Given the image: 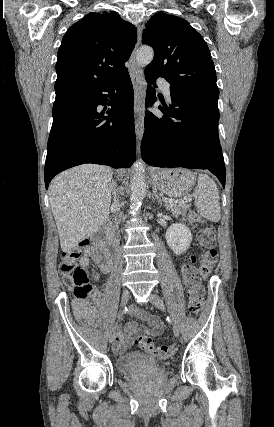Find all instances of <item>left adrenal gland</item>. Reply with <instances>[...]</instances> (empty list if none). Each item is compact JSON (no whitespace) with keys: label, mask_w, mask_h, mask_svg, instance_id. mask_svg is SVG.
Instances as JSON below:
<instances>
[{"label":"left adrenal gland","mask_w":274,"mask_h":427,"mask_svg":"<svg viewBox=\"0 0 274 427\" xmlns=\"http://www.w3.org/2000/svg\"><path fill=\"white\" fill-rule=\"evenodd\" d=\"M152 198H153V200H156V202H157V204H159V206H162L161 196H158V192H157L156 188H153Z\"/></svg>","instance_id":"1"}]
</instances>
